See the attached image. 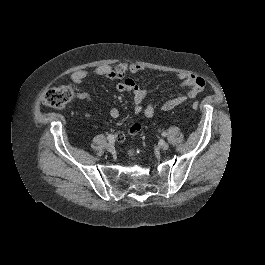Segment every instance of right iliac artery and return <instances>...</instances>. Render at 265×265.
<instances>
[{
	"label": "right iliac artery",
	"instance_id": "1",
	"mask_svg": "<svg viewBox=\"0 0 265 265\" xmlns=\"http://www.w3.org/2000/svg\"><path fill=\"white\" fill-rule=\"evenodd\" d=\"M114 139H115V137H114V135H112V134H110V135L107 136V140H108L109 142H113Z\"/></svg>",
	"mask_w": 265,
	"mask_h": 265
}]
</instances>
